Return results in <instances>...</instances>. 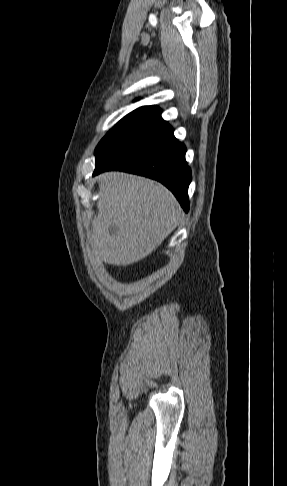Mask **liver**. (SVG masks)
Returning <instances> with one entry per match:
<instances>
[{
  "label": "liver",
  "mask_w": 287,
  "mask_h": 486,
  "mask_svg": "<svg viewBox=\"0 0 287 486\" xmlns=\"http://www.w3.org/2000/svg\"><path fill=\"white\" fill-rule=\"evenodd\" d=\"M100 198L90 236L105 263L126 266L150 255L177 227L181 208L163 185L123 172L97 177Z\"/></svg>",
  "instance_id": "6515ba94"
}]
</instances>
